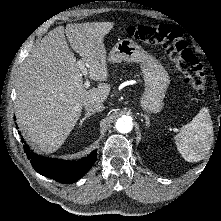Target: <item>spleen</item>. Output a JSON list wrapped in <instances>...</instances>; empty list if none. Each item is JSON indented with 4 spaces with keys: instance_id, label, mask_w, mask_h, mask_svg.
<instances>
[{
    "instance_id": "spleen-1",
    "label": "spleen",
    "mask_w": 221,
    "mask_h": 221,
    "mask_svg": "<svg viewBox=\"0 0 221 221\" xmlns=\"http://www.w3.org/2000/svg\"><path fill=\"white\" fill-rule=\"evenodd\" d=\"M213 141V124L206 107L202 108L175 136L178 151L188 162L202 160L209 153Z\"/></svg>"
}]
</instances>
